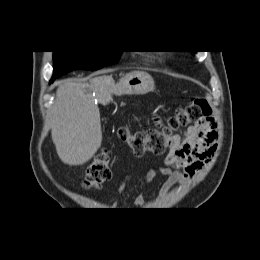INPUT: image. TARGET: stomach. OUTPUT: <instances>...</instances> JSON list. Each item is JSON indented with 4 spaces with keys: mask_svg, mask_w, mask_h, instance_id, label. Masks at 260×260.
<instances>
[{
    "mask_svg": "<svg viewBox=\"0 0 260 260\" xmlns=\"http://www.w3.org/2000/svg\"><path fill=\"white\" fill-rule=\"evenodd\" d=\"M154 80L147 73H131L115 84V95H145L154 90Z\"/></svg>",
    "mask_w": 260,
    "mask_h": 260,
    "instance_id": "stomach-1",
    "label": "stomach"
}]
</instances>
